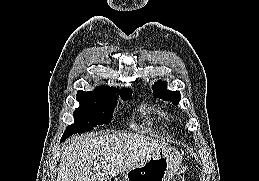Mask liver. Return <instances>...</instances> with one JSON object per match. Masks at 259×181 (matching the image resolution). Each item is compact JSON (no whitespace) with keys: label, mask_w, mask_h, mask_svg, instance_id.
I'll use <instances>...</instances> for the list:
<instances>
[{"label":"liver","mask_w":259,"mask_h":181,"mask_svg":"<svg viewBox=\"0 0 259 181\" xmlns=\"http://www.w3.org/2000/svg\"><path fill=\"white\" fill-rule=\"evenodd\" d=\"M164 149L165 142L139 134L74 136L64 143L57 181H108Z\"/></svg>","instance_id":"6515ba94"}]
</instances>
